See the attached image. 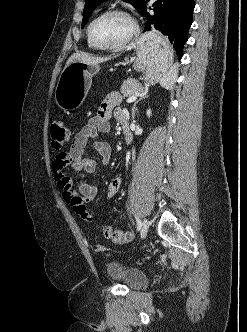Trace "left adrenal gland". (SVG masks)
<instances>
[{
  "instance_id": "a2214340",
  "label": "left adrenal gland",
  "mask_w": 247,
  "mask_h": 332,
  "mask_svg": "<svg viewBox=\"0 0 247 332\" xmlns=\"http://www.w3.org/2000/svg\"><path fill=\"white\" fill-rule=\"evenodd\" d=\"M146 98H148L147 90L143 93V95L140 97V99L137 100V101L134 103V105H133V107H132V118H133V119L135 118V110H136V106H137L138 102H140L141 100L146 99Z\"/></svg>"
}]
</instances>
